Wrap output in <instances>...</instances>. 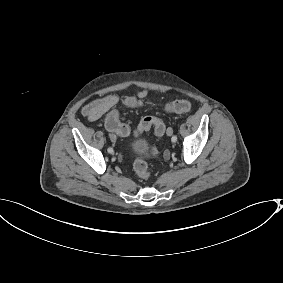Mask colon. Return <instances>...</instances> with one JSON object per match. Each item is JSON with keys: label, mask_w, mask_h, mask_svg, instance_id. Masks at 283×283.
I'll return each mask as SVG.
<instances>
[{"label": "colon", "mask_w": 283, "mask_h": 283, "mask_svg": "<svg viewBox=\"0 0 283 283\" xmlns=\"http://www.w3.org/2000/svg\"><path fill=\"white\" fill-rule=\"evenodd\" d=\"M123 106L127 108L141 107L142 102L134 97H129L124 100ZM190 109L191 103L186 99L175 100L166 105V110L169 112L185 113ZM105 127L111 134L126 136L129 132L128 127L119 120L118 111L107 114L105 118ZM150 128H154L157 137H162L165 133V125L160 119L153 116H146L141 120L138 126V132L141 133ZM151 152L156 154L157 148L155 146L152 147ZM133 169L141 180H148L151 176L148 164L142 157H138L134 160Z\"/></svg>", "instance_id": "1"}]
</instances>
